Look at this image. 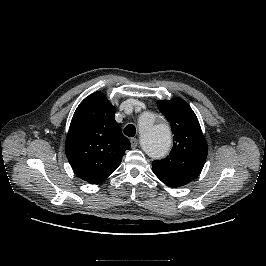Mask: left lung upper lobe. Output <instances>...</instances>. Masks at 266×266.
<instances>
[{"label":"left lung upper lobe","instance_id":"5c2ea615","mask_svg":"<svg viewBox=\"0 0 266 266\" xmlns=\"http://www.w3.org/2000/svg\"><path fill=\"white\" fill-rule=\"evenodd\" d=\"M158 108L171 125L174 143L170 154L153 161L152 168L163 183L180 187L200 174L207 157V142L195 113L183 99L158 101Z\"/></svg>","mask_w":266,"mask_h":266}]
</instances>
